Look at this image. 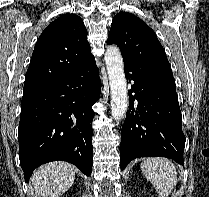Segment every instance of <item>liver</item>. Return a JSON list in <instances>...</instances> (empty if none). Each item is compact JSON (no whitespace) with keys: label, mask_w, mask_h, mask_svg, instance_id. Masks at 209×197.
I'll return each instance as SVG.
<instances>
[{"label":"liver","mask_w":209,"mask_h":197,"mask_svg":"<svg viewBox=\"0 0 209 197\" xmlns=\"http://www.w3.org/2000/svg\"><path fill=\"white\" fill-rule=\"evenodd\" d=\"M75 171L66 162H51L37 168L31 181L35 192L41 197H58L74 183Z\"/></svg>","instance_id":"obj_1"}]
</instances>
